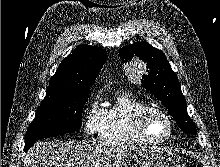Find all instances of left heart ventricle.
<instances>
[{
    "label": "left heart ventricle",
    "mask_w": 220,
    "mask_h": 167,
    "mask_svg": "<svg viewBox=\"0 0 220 167\" xmlns=\"http://www.w3.org/2000/svg\"><path fill=\"white\" fill-rule=\"evenodd\" d=\"M145 131L152 139H160L169 133V125L165 118L153 112L145 120Z\"/></svg>",
    "instance_id": "1"
}]
</instances>
